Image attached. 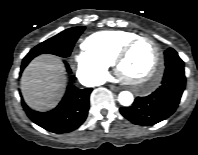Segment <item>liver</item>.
Instances as JSON below:
<instances>
[{"instance_id":"obj_1","label":"liver","mask_w":198,"mask_h":155,"mask_svg":"<svg viewBox=\"0 0 198 155\" xmlns=\"http://www.w3.org/2000/svg\"><path fill=\"white\" fill-rule=\"evenodd\" d=\"M65 68L60 58L41 55L32 60L21 77V91L26 104L37 111L54 108L64 95Z\"/></svg>"}]
</instances>
